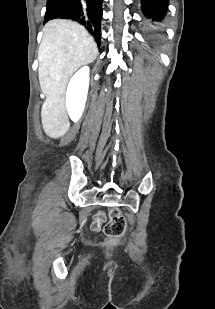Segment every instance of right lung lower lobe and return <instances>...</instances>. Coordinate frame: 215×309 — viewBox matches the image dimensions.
Returning <instances> with one entry per match:
<instances>
[{
  "instance_id": "1",
  "label": "right lung lower lobe",
  "mask_w": 215,
  "mask_h": 309,
  "mask_svg": "<svg viewBox=\"0 0 215 309\" xmlns=\"http://www.w3.org/2000/svg\"><path fill=\"white\" fill-rule=\"evenodd\" d=\"M103 0H47L44 23L71 19L84 25L100 45Z\"/></svg>"
}]
</instances>
